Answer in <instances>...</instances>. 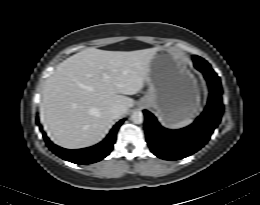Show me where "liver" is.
<instances>
[{"mask_svg": "<svg viewBox=\"0 0 260 205\" xmlns=\"http://www.w3.org/2000/svg\"><path fill=\"white\" fill-rule=\"evenodd\" d=\"M159 50L91 47L61 62L46 80L40 103V119L51 140L68 149L99 142L115 120L110 109L122 105L126 113L133 107L134 100L126 95L142 90Z\"/></svg>", "mask_w": 260, "mask_h": 205, "instance_id": "6515ba94", "label": "liver"}]
</instances>
